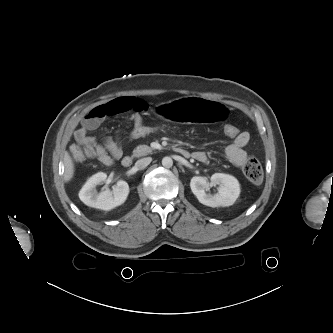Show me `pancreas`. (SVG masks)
<instances>
[{
	"mask_svg": "<svg viewBox=\"0 0 333 333\" xmlns=\"http://www.w3.org/2000/svg\"><path fill=\"white\" fill-rule=\"evenodd\" d=\"M151 151H152L151 148L148 147L147 145H139L134 149L133 155L136 157H139V156H143L147 153H150Z\"/></svg>",
	"mask_w": 333,
	"mask_h": 333,
	"instance_id": "cf45deb5",
	"label": "pancreas"
}]
</instances>
